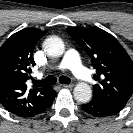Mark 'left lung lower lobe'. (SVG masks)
<instances>
[{
	"mask_svg": "<svg viewBox=\"0 0 133 133\" xmlns=\"http://www.w3.org/2000/svg\"><path fill=\"white\" fill-rule=\"evenodd\" d=\"M82 109L90 115L96 116V117H106V116H111L115 115L118 112H120L122 109L101 103L98 100L92 99L89 103L83 104Z\"/></svg>",
	"mask_w": 133,
	"mask_h": 133,
	"instance_id": "0a47b994",
	"label": "left lung lower lobe"
}]
</instances>
